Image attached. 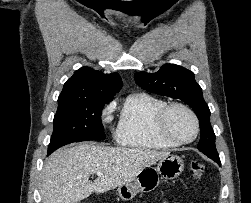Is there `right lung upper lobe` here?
Returning <instances> with one entry per match:
<instances>
[{"instance_id": "1", "label": "right lung upper lobe", "mask_w": 251, "mask_h": 203, "mask_svg": "<svg viewBox=\"0 0 251 203\" xmlns=\"http://www.w3.org/2000/svg\"><path fill=\"white\" fill-rule=\"evenodd\" d=\"M122 88L119 74H104L90 67H82L68 79L58 97V106L84 101H111Z\"/></svg>"}]
</instances>
